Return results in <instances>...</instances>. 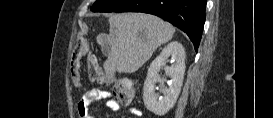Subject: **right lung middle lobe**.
Listing matches in <instances>:
<instances>
[{
    "mask_svg": "<svg viewBox=\"0 0 273 118\" xmlns=\"http://www.w3.org/2000/svg\"><path fill=\"white\" fill-rule=\"evenodd\" d=\"M128 0H96L92 5L93 12H115Z\"/></svg>",
    "mask_w": 273,
    "mask_h": 118,
    "instance_id": "dd1d6c3e",
    "label": "right lung middle lobe"
}]
</instances>
